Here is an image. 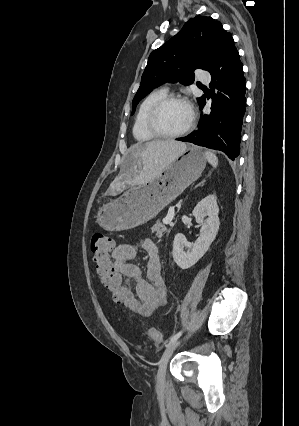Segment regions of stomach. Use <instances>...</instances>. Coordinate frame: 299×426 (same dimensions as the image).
<instances>
[{
  "label": "stomach",
  "mask_w": 299,
  "mask_h": 426,
  "mask_svg": "<svg viewBox=\"0 0 299 426\" xmlns=\"http://www.w3.org/2000/svg\"><path fill=\"white\" fill-rule=\"evenodd\" d=\"M205 165L206 156L200 149L187 148L159 177L131 187L99 208L96 222L108 231L127 230L146 223L192 184Z\"/></svg>",
  "instance_id": "1"
}]
</instances>
